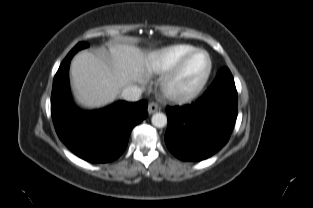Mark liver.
Returning <instances> with one entry per match:
<instances>
[{"instance_id":"liver-1","label":"liver","mask_w":313,"mask_h":208,"mask_svg":"<svg viewBox=\"0 0 313 208\" xmlns=\"http://www.w3.org/2000/svg\"><path fill=\"white\" fill-rule=\"evenodd\" d=\"M103 53L81 51L70 64V78L76 102L85 108H98L113 102L121 90L142 82L151 69L153 56L132 44L109 45Z\"/></svg>"}]
</instances>
